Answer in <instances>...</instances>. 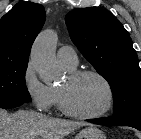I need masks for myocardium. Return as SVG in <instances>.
<instances>
[{
    "label": "myocardium",
    "instance_id": "obj_1",
    "mask_svg": "<svg viewBox=\"0 0 141 139\" xmlns=\"http://www.w3.org/2000/svg\"><path fill=\"white\" fill-rule=\"evenodd\" d=\"M85 76H94L104 84L108 95L107 103L104 109L95 114H84L74 110L68 101L66 89L62 87L58 88L59 106L66 115L74 118L83 119V120H94V119L102 118L111 111L114 105L115 95H114L113 87L109 82V80L102 73L92 69L73 70L68 73L67 77L70 82H74Z\"/></svg>",
    "mask_w": 141,
    "mask_h": 139
}]
</instances>
